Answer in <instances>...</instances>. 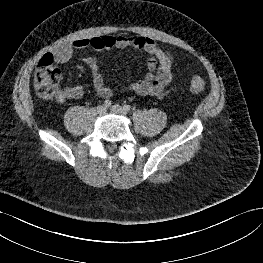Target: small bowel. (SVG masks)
Returning a JSON list of instances; mask_svg holds the SVG:
<instances>
[{
    "label": "small bowel",
    "mask_w": 263,
    "mask_h": 263,
    "mask_svg": "<svg viewBox=\"0 0 263 263\" xmlns=\"http://www.w3.org/2000/svg\"><path fill=\"white\" fill-rule=\"evenodd\" d=\"M85 48H92L97 51L135 48L148 55L147 74L141 80L126 82L122 87L124 92L158 96L163 93L165 87L172 80V71L175 64L173 55L162 49L152 38L147 36L102 35L81 38L55 46L51 50V55L55 62L63 64L72 57L75 50ZM83 61L92 73L93 87L96 93L103 98L111 97L114 94V89L105 83L99 60L96 57L87 56L83 58ZM83 93L84 89L81 85L58 88L54 99L58 103H63L68 99H78L82 97Z\"/></svg>",
    "instance_id": "obj_1"
}]
</instances>
